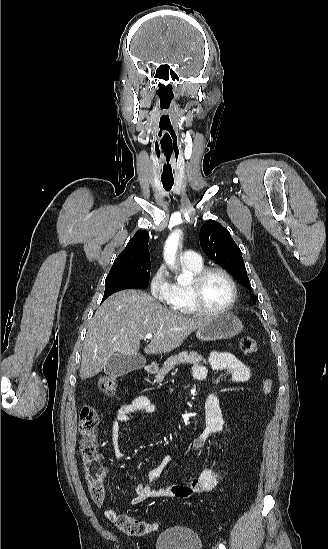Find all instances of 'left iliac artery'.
<instances>
[{
  "instance_id": "1",
  "label": "left iliac artery",
  "mask_w": 328,
  "mask_h": 549,
  "mask_svg": "<svg viewBox=\"0 0 328 549\" xmlns=\"http://www.w3.org/2000/svg\"><path fill=\"white\" fill-rule=\"evenodd\" d=\"M219 549H226L225 546L223 544H220L219 545Z\"/></svg>"
}]
</instances>
